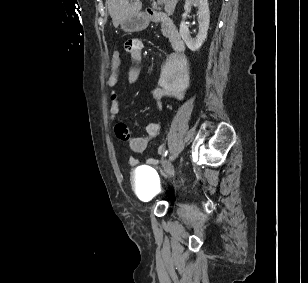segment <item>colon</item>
Segmentation results:
<instances>
[{"instance_id": "obj_1", "label": "colon", "mask_w": 308, "mask_h": 283, "mask_svg": "<svg viewBox=\"0 0 308 283\" xmlns=\"http://www.w3.org/2000/svg\"><path fill=\"white\" fill-rule=\"evenodd\" d=\"M121 65V55L118 51H115L112 56V67L118 69Z\"/></svg>"}]
</instances>
